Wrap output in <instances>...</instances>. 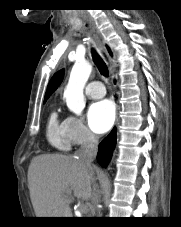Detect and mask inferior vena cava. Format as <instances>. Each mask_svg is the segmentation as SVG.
I'll return each mask as SVG.
<instances>
[{
    "instance_id": "1",
    "label": "inferior vena cava",
    "mask_w": 181,
    "mask_h": 227,
    "mask_svg": "<svg viewBox=\"0 0 181 227\" xmlns=\"http://www.w3.org/2000/svg\"><path fill=\"white\" fill-rule=\"evenodd\" d=\"M97 151H98V137L89 131L87 133L85 142L80 146L79 150L76 152V155L88 167H91L92 162L97 155ZM94 192H95L94 209L97 212L96 217H101L100 210L97 208V204L99 202V194H98V190L96 189V186L94 187Z\"/></svg>"
}]
</instances>
